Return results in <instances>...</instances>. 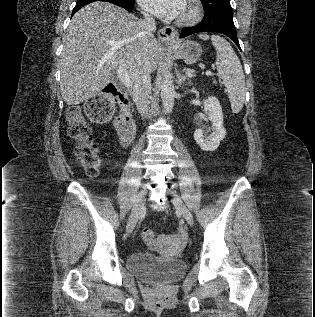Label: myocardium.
<instances>
[{
	"mask_svg": "<svg viewBox=\"0 0 315 317\" xmlns=\"http://www.w3.org/2000/svg\"><path fill=\"white\" fill-rule=\"evenodd\" d=\"M187 13L177 19V24L189 26L200 21L203 15V8L200 0H187Z\"/></svg>",
	"mask_w": 315,
	"mask_h": 317,
	"instance_id": "f54148a6",
	"label": "myocardium"
}]
</instances>
